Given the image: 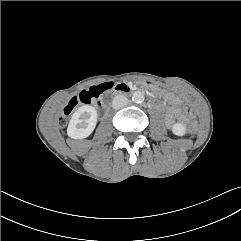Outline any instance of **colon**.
<instances>
[{"label":"colon","mask_w":241,"mask_h":241,"mask_svg":"<svg viewBox=\"0 0 241 241\" xmlns=\"http://www.w3.org/2000/svg\"><path fill=\"white\" fill-rule=\"evenodd\" d=\"M113 83L106 82L99 85L91 86L80 92L77 97L72 98L67 105L64 107L60 122L64 124L66 119L80 106L85 104H90L92 102L98 101L100 97L111 90ZM183 116L189 120L188 128L191 133H196L198 131V118L195 116L193 109L190 106H185L183 109Z\"/></svg>","instance_id":"obj_1"}]
</instances>
